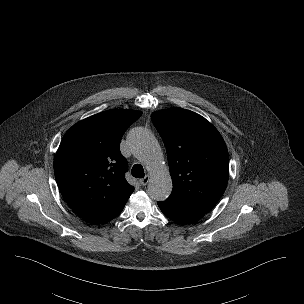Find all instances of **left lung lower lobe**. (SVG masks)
Returning a JSON list of instances; mask_svg holds the SVG:
<instances>
[{
    "mask_svg": "<svg viewBox=\"0 0 304 304\" xmlns=\"http://www.w3.org/2000/svg\"><path fill=\"white\" fill-rule=\"evenodd\" d=\"M158 206L165 216L178 223H192L205 215L170 199L158 202Z\"/></svg>",
    "mask_w": 304,
    "mask_h": 304,
    "instance_id": "left-lung-lower-lobe-1",
    "label": "left lung lower lobe"
}]
</instances>
